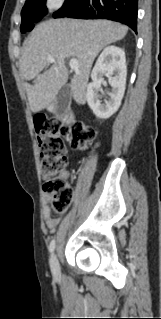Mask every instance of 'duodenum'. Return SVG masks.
<instances>
[{"instance_id": "duodenum-1", "label": "duodenum", "mask_w": 161, "mask_h": 319, "mask_svg": "<svg viewBox=\"0 0 161 319\" xmlns=\"http://www.w3.org/2000/svg\"><path fill=\"white\" fill-rule=\"evenodd\" d=\"M53 112L56 114V116L58 117V106H54L53 107ZM68 120H71V117H68Z\"/></svg>"}]
</instances>
